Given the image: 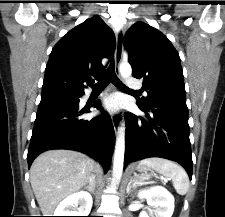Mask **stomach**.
<instances>
[{
  "label": "stomach",
  "instance_id": "obj_1",
  "mask_svg": "<svg viewBox=\"0 0 225 217\" xmlns=\"http://www.w3.org/2000/svg\"><path fill=\"white\" fill-rule=\"evenodd\" d=\"M136 170H138L139 172H146V167L139 164L136 167Z\"/></svg>",
  "mask_w": 225,
  "mask_h": 217
}]
</instances>
